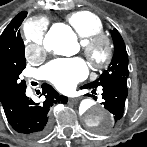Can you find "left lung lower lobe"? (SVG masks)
Wrapping results in <instances>:
<instances>
[{"instance_id": "1", "label": "left lung lower lobe", "mask_w": 147, "mask_h": 147, "mask_svg": "<svg viewBox=\"0 0 147 147\" xmlns=\"http://www.w3.org/2000/svg\"><path fill=\"white\" fill-rule=\"evenodd\" d=\"M103 88L102 103L106 109L113 114V125H115L123 116L125 101L128 95L127 89V77H119L103 82L100 85ZM93 89L87 85L81 87V89ZM112 125V126H113Z\"/></svg>"}]
</instances>
